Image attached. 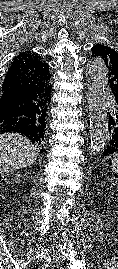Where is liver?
Masks as SVG:
<instances>
[{"label": "liver", "instance_id": "obj_1", "mask_svg": "<svg viewBox=\"0 0 118 269\" xmlns=\"http://www.w3.org/2000/svg\"><path fill=\"white\" fill-rule=\"evenodd\" d=\"M37 155V149L31 141L20 134L0 135V174L34 164Z\"/></svg>", "mask_w": 118, "mask_h": 269}]
</instances>
